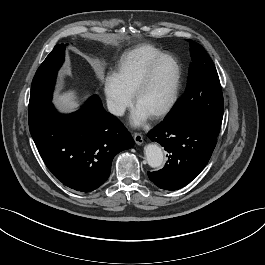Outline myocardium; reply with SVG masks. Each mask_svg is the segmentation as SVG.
Listing matches in <instances>:
<instances>
[{
	"label": "myocardium",
	"mask_w": 265,
	"mask_h": 265,
	"mask_svg": "<svg viewBox=\"0 0 265 265\" xmlns=\"http://www.w3.org/2000/svg\"><path fill=\"white\" fill-rule=\"evenodd\" d=\"M166 59H169L173 61L174 63L175 71H176L175 83H174V87H173V90H172V93H171V96L168 102L161 109H159L158 111H156L150 116L152 119H159V118L166 116L174 108V106L176 105L178 101L179 93L181 89V83H182V69H181L178 59L171 54H161L155 59H153L149 63L147 68L145 69L142 76L140 77L131 95L132 103L133 105H135L139 96L143 93V91L148 86L152 78V75L156 67L158 66V64Z\"/></svg>",
	"instance_id": "f54148a6"
}]
</instances>
